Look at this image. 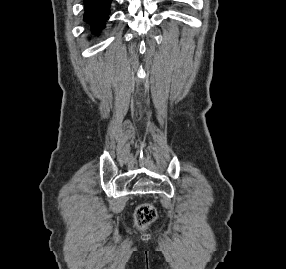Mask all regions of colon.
I'll return each mask as SVG.
<instances>
[{"label": "colon", "instance_id": "colon-1", "mask_svg": "<svg viewBox=\"0 0 286 269\" xmlns=\"http://www.w3.org/2000/svg\"><path fill=\"white\" fill-rule=\"evenodd\" d=\"M155 208L149 203H143L136 208L135 223L139 228H144L156 219Z\"/></svg>", "mask_w": 286, "mask_h": 269}]
</instances>
